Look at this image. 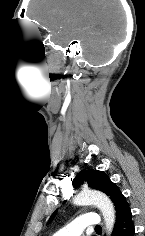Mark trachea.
I'll use <instances>...</instances> for the list:
<instances>
[{
    "label": "trachea",
    "instance_id": "obj_1",
    "mask_svg": "<svg viewBox=\"0 0 145 236\" xmlns=\"http://www.w3.org/2000/svg\"><path fill=\"white\" fill-rule=\"evenodd\" d=\"M95 228H96V229H101V227H100V226H96Z\"/></svg>",
    "mask_w": 145,
    "mask_h": 236
}]
</instances>
